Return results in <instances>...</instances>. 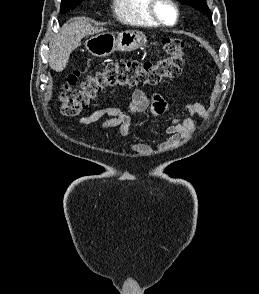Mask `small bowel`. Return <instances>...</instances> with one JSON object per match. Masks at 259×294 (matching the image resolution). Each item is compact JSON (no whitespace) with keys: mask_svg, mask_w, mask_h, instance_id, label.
Wrapping results in <instances>:
<instances>
[{"mask_svg":"<svg viewBox=\"0 0 259 294\" xmlns=\"http://www.w3.org/2000/svg\"><path fill=\"white\" fill-rule=\"evenodd\" d=\"M167 110L168 103L161 94L153 93L148 95L142 90H136L132 95V100L127 110H121L116 107L98 109L90 115L79 118L78 123L89 125L99 121L103 117H109V119L101 125V129L117 128L120 135L127 136L133 130L134 116L145 112L157 116L167 112ZM183 111L190 115H196L203 120L208 118V111L201 103H188L183 107ZM196 128L197 124L191 118H174L165 128L164 135L168 137V142H171L191 135ZM168 142L162 143L160 146H164ZM131 150L133 152L143 153L151 151L152 147L147 144L139 143L131 146Z\"/></svg>","mask_w":259,"mask_h":294,"instance_id":"small-bowel-1","label":"small bowel"}]
</instances>
